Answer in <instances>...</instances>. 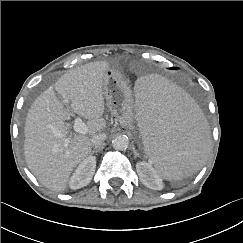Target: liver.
Returning a JSON list of instances; mask_svg holds the SVG:
<instances>
[{"label": "liver", "instance_id": "6515ba94", "mask_svg": "<svg viewBox=\"0 0 243 243\" xmlns=\"http://www.w3.org/2000/svg\"><path fill=\"white\" fill-rule=\"evenodd\" d=\"M109 68L105 61L88 63L65 73L54 85L57 94L70 101L71 111L88 119L86 134H68L65 121L70 119V112L52 88L43 92L28 111L24 129L26 163L50 190L65 191L75 167L91 153V137L106 127L102 116L105 73Z\"/></svg>", "mask_w": 243, "mask_h": 243}]
</instances>
